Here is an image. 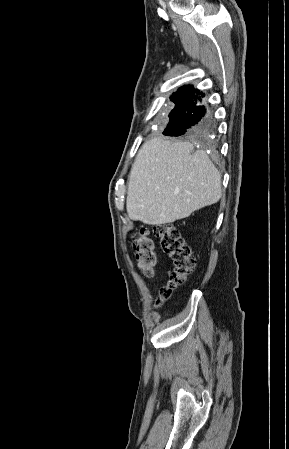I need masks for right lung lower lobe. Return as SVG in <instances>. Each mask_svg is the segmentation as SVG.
Here are the masks:
<instances>
[{
  "mask_svg": "<svg viewBox=\"0 0 289 449\" xmlns=\"http://www.w3.org/2000/svg\"><path fill=\"white\" fill-rule=\"evenodd\" d=\"M203 93L191 85L183 86L173 93L171 101L175 104L168 124L169 134L173 136H194L206 134L211 129V118L201 105Z\"/></svg>",
  "mask_w": 289,
  "mask_h": 449,
  "instance_id": "obj_1",
  "label": "right lung lower lobe"
}]
</instances>
